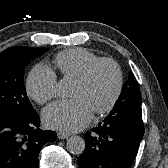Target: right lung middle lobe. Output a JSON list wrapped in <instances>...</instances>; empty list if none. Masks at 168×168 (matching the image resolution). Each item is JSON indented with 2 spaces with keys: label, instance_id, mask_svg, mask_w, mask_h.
Listing matches in <instances>:
<instances>
[{
  "label": "right lung middle lobe",
  "instance_id": "obj_1",
  "mask_svg": "<svg viewBox=\"0 0 168 168\" xmlns=\"http://www.w3.org/2000/svg\"><path fill=\"white\" fill-rule=\"evenodd\" d=\"M48 50L14 46L0 54V114L27 117L36 113L23 84L24 68Z\"/></svg>",
  "mask_w": 168,
  "mask_h": 168
}]
</instances>
